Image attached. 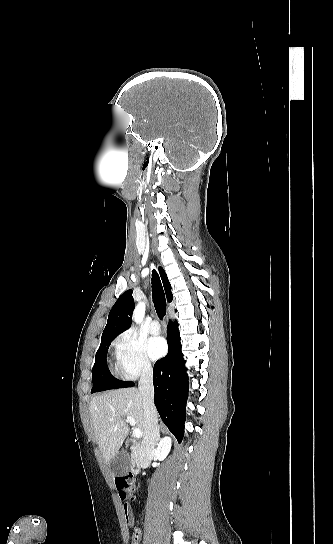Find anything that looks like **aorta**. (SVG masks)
Instances as JSON below:
<instances>
[{
    "instance_id": "762f6f07",
    "label": "aorta",
    "mask_w": 333,
    "mask_h": 544,
    "mask_svg": "<svg viewBox=\"0 0 333 544\" xmlns=\"http://www.w3.org/2000/svg\"><path fill=\"white\" fill-rule=\"evenodd\" d=\"M144 316H145V305L143 303H139L133 312V320L136 323H141L143 321Z\"/></svg>"
}]
</instances>
